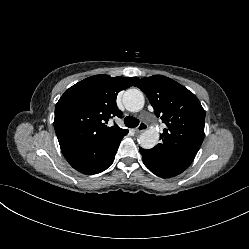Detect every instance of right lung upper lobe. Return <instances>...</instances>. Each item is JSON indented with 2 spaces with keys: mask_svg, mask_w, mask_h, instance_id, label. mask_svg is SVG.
Masks as SVG:
<instances>
[{
  "mask_svg": "<svg viewBox=\"0 0 249 249\" xmlns=\"http://www.w3.org/2000/svg\"><path fill=\"white\" fill-rule=\"evenodd\" d=\"M137 80L95 75L70 87L55 107L54 128L60 147L95 145L128 133L117 124H106L110 118L122 116L116 106L117 94Z\"/></svg>",
  "mask_w": 249,
  "mask_h": 249,
  "instance_id": "right-lung-upper-lobe-1",
  "label": "right lung upper lobe"
}]
</instances>
